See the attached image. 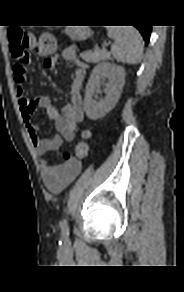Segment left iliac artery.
I'll use <instances>...</instances> for the list:
<instances>
[{
    "instance_id": "44dca946",
    "label": "left iliac artery",
    "mask_w": 184,
    "mask_h": 292,
    "mask_svg": "<svg viewBox=\"0 0 184 292\" xmlns=\"http://www.w3.org/2000/svg\"><path fill=\"white\" fill-rule=\"evenodd\" d=\"M68 239H69L68 223L66 219H63L61 222V240L65 242Z\"/></svg>"
}]
</instances>
